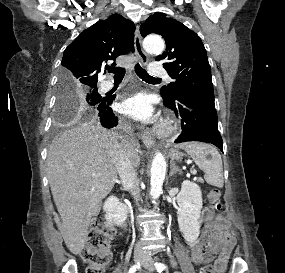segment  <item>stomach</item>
<instances>
[{"mask_svg":"<svg viewBox=\"0 0 285 273\" xmlns=\"http://www.w3.org/2000/svg\"><path fill=\"white\" fill-rule=\"evenodd\" d=\"M169 156L172 160L178 161V160H181L183 154L180 151H178L177 149H171L169 151Z\"/></svg>","mask_w":285,"mask_h":273,"instance_id":"stomach-1","label":"stomach"}]
</instances>
